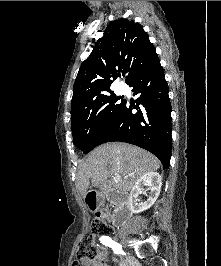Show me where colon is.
Listing matches in <instances>:
<instances>
[{
	"mask_svg": "<svg viewBox=\"0 0 221 266\" xmlns=\"http://www.w3.org/2000/svg\"><path fill=\"white\" fill-rule=\"evenodd\" d=\"M96 216L91 224V234L84 235L79 242L77 257L83 262L93 261L98 256L94 236L107 235L112 232V228L106 223L108 209L99 211Z\"/></svg>",
	"mask_w": 221,
	"mask_h": 266,
	"instance_id": "colon-1",
	"label": "colon"
}]
</instances>
